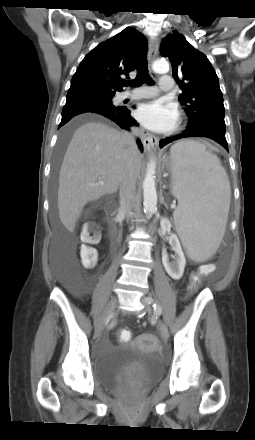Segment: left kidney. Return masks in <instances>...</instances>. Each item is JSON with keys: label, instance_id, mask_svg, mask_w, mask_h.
Masks as SVG:
<instances>
[{"label": "left kidney", "instance_id": "1", "mask_svg": "<svg viewBox=\"0 0 255 440\" xmlns=\"http://www.w3.org/2000/svg\"><path fill=\"white\" fill-rule=\"evenodd\" d=\"M161 228L164 231H170L171 223L168 219L163 218L161 220ZM169 244L172 247V250L175 252L174 261L170 262L167 252L165 249L162 251V263L168 275L174 279L179 280L184 273V268L186 265V259L184 253L182 251V247L178 237L175 234H170Z\"/></svg>", "mask_w": 255, "mask_h": 440}]
</instances>
